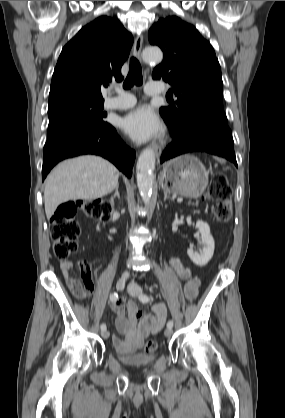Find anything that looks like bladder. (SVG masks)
Wrapping results in <instances>:
<instances>
[{"label": "bladder", "mask_w": 285, "mask_h": 418, "mask_svg": "<svg viewBox=\"0 0 285 418\" xmlns=\"http://www.w3.org/2000/svg\"><path fill=\"white\" fill-rule=\"evenodd\" d=\"M116 357L119 362L131 367H144L152 365L156 361V355L153 352H124L115 350Z\"/></svg>", "instance_id": "bladder-1"}]
</instances>
